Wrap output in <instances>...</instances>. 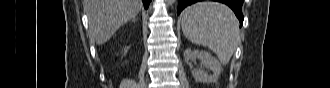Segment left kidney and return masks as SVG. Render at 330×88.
Segmentation results:
<instances>
[{
  "instance_id": "5707ae66",
  "label": "left kidney",
  "mask_w": 330,
  "mask_h": 88,
  "mask_svg": "<svg viewBox=\"0 0 330 88\" xmlns=\"http://www.w3.org/2000/svg\"><path fill=\"white\" fill-rule=\"evenodd\" d=\"M184 58L187 61L200 59L204 67L210 68L213 71V75H208L204 71L193 69L192 75L195 78V80L200 83L215 82L222 72L221 63L207 51L186 49L184 51Z\"/></svg>"
}]
</instances>
